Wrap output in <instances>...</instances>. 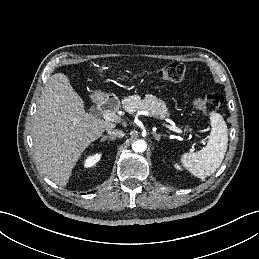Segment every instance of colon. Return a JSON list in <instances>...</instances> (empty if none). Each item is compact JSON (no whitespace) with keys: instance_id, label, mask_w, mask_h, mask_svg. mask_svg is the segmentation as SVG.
I'll return each instance as SVG.
<instances>
[{"instance_id":"obj_1","label":"colon","mask_w":259,"mask_h":259,"mask_svg":"<svg viewBox=\"0 0 259 259\" xmlns=\"http://www.w3.org/2000/svg\"><path fill=\"white\" fill-rule=\"evenodd\" d=\"M185 66L179 62L169 63L158 70V77L166 82L179 83L185 77ZM138 76L133 73H127L123 79H136ZM223 103L221 93H211L205 96H199L193 99L194 108L206 114L215 113Z\"/></svg>"}]
</instances>
